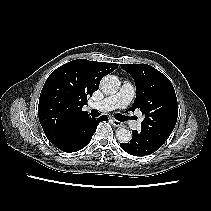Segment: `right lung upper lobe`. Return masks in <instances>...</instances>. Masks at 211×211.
Listing matches in <instances>:
<instances>
[{
	"mask_svg": "<svg viewBox=\"0 0 211 211\" xmlns=\"http://www.w3.org/2000/svg\"><path fill=\"white\" fill-rule=\"evenodd\" d=\"M118 67L115 63L78 59L54 70L39 98L38 116L46 137L53 141L67 127L89 118L82 111L101 79Z\"/></svg>",
	"mask_w": 211,
	"mask_h": 211,
	"instance_id": "cb5924a9",
	"label": "right lung upper lobe"
}]
</instances>
